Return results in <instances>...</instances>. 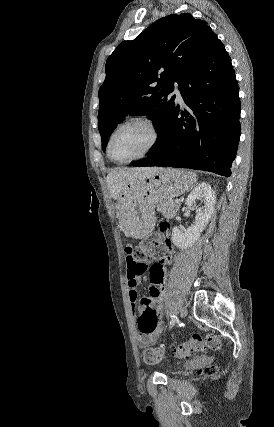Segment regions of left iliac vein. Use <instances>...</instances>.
Masks as SVG:
<instances>
[{
  "label": "left iliac vein",
  "instance_id": "4c4485c4",
  "mask_svg": "<svg viewBox=\"0 0 274 427\" xmlns=\"http://www.w3.org/2000/svg\"><path fill=\"white\" fill-rule=\"evenodd\" d=\"M180 316L181 318H185L187 316V309L182 307L180 308Z\"/></svg>",
  "mask_w": 274,
  "mask_h": 427
}]
</instances>
